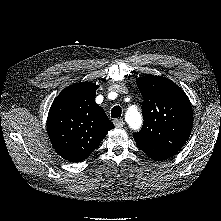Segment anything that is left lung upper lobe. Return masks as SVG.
<instances>
[{"label": "left lung upper lobe", "instance_id": "obj_1", "mask_svg": "<svg viewBox=\"0 0 221 221\" xmlns=\"http://www.w3.org/2000/svg\"><path fill=\"white\" fill-rule=\"evenodd\" d=\"M143 96V128L133 137L151 159L165 160L185 144L193 125V112L185 92L170 79L146 75L136 79Z\"/></svg>", "mask_w": 221, "mask_h": 221}]
</instances>
